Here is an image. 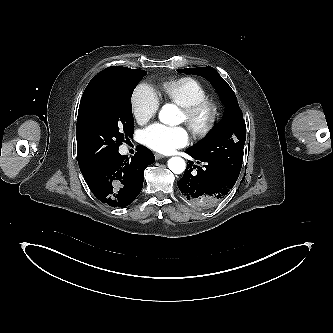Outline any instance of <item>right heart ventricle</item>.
I'll return each instance as SVG.
<instances>
[{"instance_id":"obj_1","label":"right heart ventricle","mask_w":333,"mask_h":333,"mask_svg":"<svg viewBox=\"0 0 333 333\" xmlns=\"http://www.w3.org/2000/svg\"><path fill=\"white\" fill-rule=\"evenodd\" d=\"M164 96L180 107H186L208 98V91L198 80L191 77L171 79L162 83Z\"/></svg>"}]
</instances>
